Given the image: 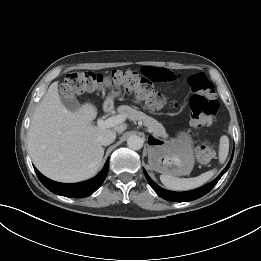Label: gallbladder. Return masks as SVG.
<instances>
[{
    "label": "gallbladder",
    "mask_w": 261,
    "mask_h": 261,
    "mask_svg": "<svg viewBox=\"0 0 261 261\" xmlns=\"http://www.w3.org/2000/svg\"><path fill=\"white\" fill-rule=\"evenodd\" d=\"M61 102L71 112H75L80 108L78 100L72 94H63Z\"/></svg>",
    "instance_id": "bac80fb5"
}]
</instances>
